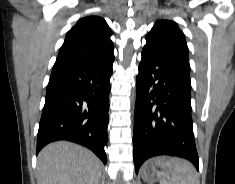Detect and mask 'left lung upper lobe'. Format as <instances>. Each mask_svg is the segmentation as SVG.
Masks as SVG:
<instances>
[{
    "label": "left lung upper lobe",
    "mask_w": 235,
    "mask_h": 184,
    "mask_svg": "<svg viewBox=\"0 0 235 184\" xmlns=\"http://www.w3.org/2000/svg\"><path fill=\"white\" fill-rule=\"evenodd\" d=\"M147 43H155L175 54L190 71L189 49L185 35L178 25L170 20H158L146 36Z\"/></svg>",
    "instance_id": "1"
}]
</instances>
